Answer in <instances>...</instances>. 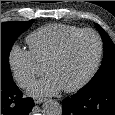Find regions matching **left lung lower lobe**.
I'll use <instances>...</instances> for the list:
<instances>
[{
	"label": "left lung lower lobe",
	"instance_id": "0a47b994",
	"mask_svg": "<svg viewBox=\"0 0 115 115\" xmlns=\"http://www.w3.org/2000/svg\"><path fill=\"white\" fill-rule=\"evenodd\" d=\"M62 105V115H115V83L77 92Z\"/></svg>",
	"mask_w": 115,
	"mask_h": 115
}]
</instances>
